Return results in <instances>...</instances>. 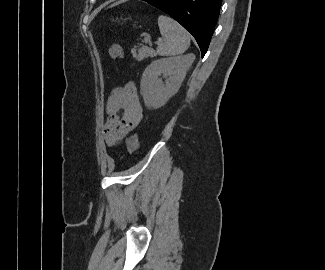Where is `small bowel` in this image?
<instances>
[{"label": "small bowel", "instance_id": "1", "mask_svg": "<svg viewBox=\"0 0 325 270\" xmlns=\"http://www.w3.org/2000/svg\"><path fill=\"white\" fill-rule=\"evenodd\" d=\"M105 114L104 138L106 144L113 147L119 144L143 118V110L134 82H127L124 86L116 87L111 91Z\"/></svg>", "mask_w": 325, "mask_h": 270}]
</instances>
